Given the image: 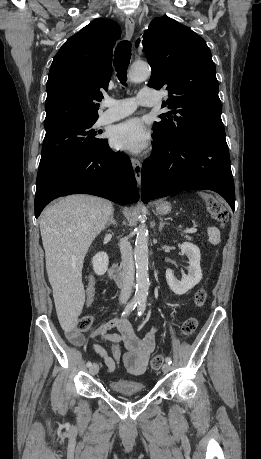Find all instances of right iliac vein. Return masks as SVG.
I'll return each mask as SVG.
<instances>
[{
  "mask_svg": "<svg viewBox=\"0 0 261 459\" xmlns=\"http://www.w3.org/2000/svg\"><path fill=\"white\" fill-rule=\"evenodd\" d=\"M98 371H99V366L96 363H94L89 369V373L91 375H96Z\"/></svg>",
  "mask_w": 261,
  "mask_h": 459,
  "instance_id": "right-iliac-vein-1",
  "label": "right iliac vein"
}]
</instances>
